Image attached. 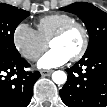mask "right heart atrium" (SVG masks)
<instances>
[{
    "label": "right heart atrium",
    "instance_id": "1",
    "mask_svg": "<svg viewBox=\"0 0 107 107\" xmlns=\"http://www.w3.org/2000/svg\"><path fill=\"white\" fill-rule=\"evenodd\" d=\"M12 39L19 54L30 61L37 60L47 47L37 31L24 22L15 27Z\"/></svg>",
    "mask_w": 107,
    "mask_h": 107
}]
</instances>
